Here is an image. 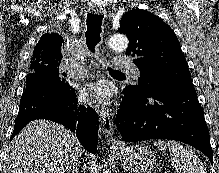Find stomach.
Listing matches in <instances>:
<instances>
[{"mask_svg": "<svg viewBox=\"0 0 219 173\" xmlns=\"http://www.w3.org/2000/svg\"><path fill=\"white\" fill-rule=\"evenodd\" d=\"M114 155L128 173H151L156 164L154 153L142 143L121 145L115 149Z\"/></svg>", "mask_w": 219, "mask_h": 173, "instance_id": "0dacf381", "label": "stomach"}]
</instances>
